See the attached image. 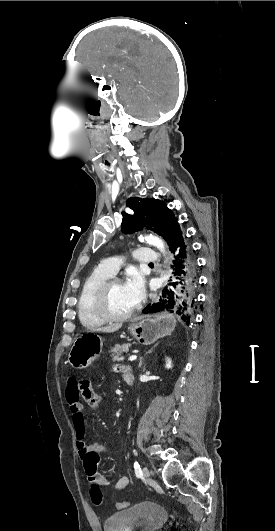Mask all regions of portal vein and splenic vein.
<instances>
[{"mask_svg": "<svg viewBox=\"0 0 275 531\" xmlns=\"http://www.w3.org/2000/svg\"><path fill=\"white\" fill-rule=\"evenodd\" d=\"M137 359L136 355H132V357H129L128 361H135Z\"/></svg>", "mask_w": 275, "mask_h": 531, "instance_id": "portal-vein-and-splenic-vein-1", "label": "portal vein and splenic vein"}]
</instances>
